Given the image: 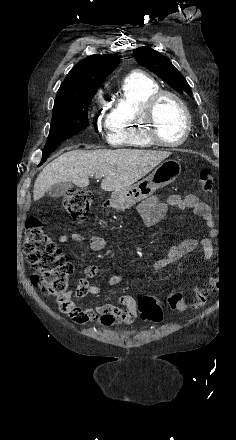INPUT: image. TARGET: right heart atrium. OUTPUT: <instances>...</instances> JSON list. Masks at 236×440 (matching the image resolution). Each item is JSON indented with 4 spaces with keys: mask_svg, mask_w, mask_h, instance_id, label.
<instances>
[{
    "mask_svg": "<svg viewBox=\"0 0 236 440\" xmlns=\"http://www.w3.org/2000/svg\"><path fill=\"white\" fill-rule=\"evenodd\" d=\"M104 115V110L102 108V93L99 92L96 97L95 101L92 104L89 112L90 119L97 124H100L101 119Z\"/></svg>",
    "mask_w": 236,
    "mask_h": 440,
    "instance_id": "obj_1",
    "label": "right heart atrium"
}]
</instances>
